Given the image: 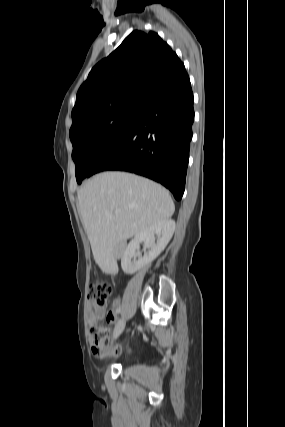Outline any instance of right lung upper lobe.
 Returning <instances> with one entry per match:
<instances>
[{"label": "right lung upper lobe", "instance_id": "obj_1", "mask_svg": "<svg viewBox=\"0 0 285 427\" xmlns=\"http://www.w3.org/2000/svg\"><path fill=\"white\" fill-rule=\"evenodd\" d=\"M183 72L184 64L157 33L133 31L79 88L70 134L124 107L143 105L156 88Z\"/></svg>", "mask_w": 285, "mask_h": 427}]
</instances>
